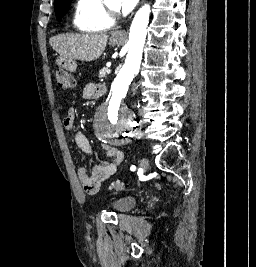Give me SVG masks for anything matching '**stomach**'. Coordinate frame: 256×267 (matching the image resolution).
Instances as JSON below:
<instances>
[{
    "instance_id": "1",
    "label": "stomach",
    "mask_w": 256,
    "mask_h": 267,
    "mask_svg": "<svg viewBox=\"0 0 256 267\" xmlns=\"http://www.w3.org/2000/svg\"><path fill=\"white\" fill-rule=\"evenodd\" d=\"M119 40H123V38H119V36H117V38H111L110 40V44H118ZM55 67H75V62H55Z\"/></svg>"
}]
</instances>
